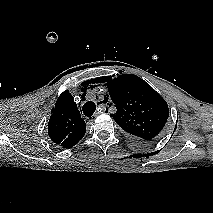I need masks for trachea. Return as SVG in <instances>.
I'll use <instances>...</instances> for the list:
<instances>
[{"instance_id":"trachea-1","label":"trachea","mask_w":213,"mask_h":213,"mask_svg":"<svg viewBox=\"0 0 213 213\" xmlns=\"http://www.w3.org/2000/svg\"><path fill=\"white\" fill-rule=\"evenodd\" d=\"M82 110H83V113H84L85 116L91 117L96 110V105L92 101L86 102L83 105Z\"/></svg>"}]
</instances>
